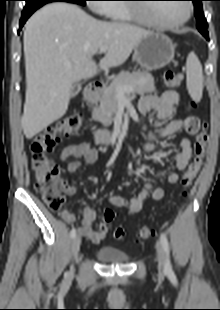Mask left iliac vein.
<instances>
[{"mask_svg":"<svg viewBox=\"0 0 220 310\" xmlns=\"http://www.w3.org/2000/svg\"><path fill=\"white\" fill-rule=\"evenodd\" d=\"M156 251H157L158 268L160 270H164V268H165V254H164V250H163V248L159 242L156 244Z\"/></svg>","mask_w":220,"mask_h":310,"instance_id":"obj_1","label":"left iliac vein"}]
</instances>
